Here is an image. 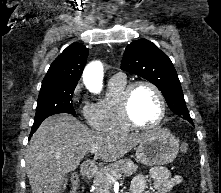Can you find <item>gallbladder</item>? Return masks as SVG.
I'll use <instances>...</instances> for the list:
<instances>
[{
    "label": "gallbladder",
    "instance_id": "bac80fb5",
    "mask_svg": "<svg viewBox=\"0 0 221 193\" xmlns=\"http://www.w3.org/2000/svg\"><path fill=\"white\" fill-rule=\"evenodd\" d=\"M67 182H68V178L65 177L62 179L61 183H60V193H63L64 189L66 188V185H67Z\"/></svg>",
    "mask_w": 221,
    "mask_h": 193
}]
</instances>
